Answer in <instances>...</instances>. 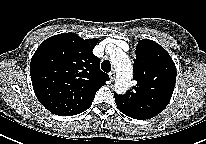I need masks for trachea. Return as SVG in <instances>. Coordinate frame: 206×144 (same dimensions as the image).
Returning a JSON list of instances; mask_svg holds the SVG:
<instances>
[{
  "mask_svg": "<svg viewBox=\"0 0 206 144\" xmlns=\"http://www.w3.org/2000/svg\"><path fill=\"white\" fill-rule=\"evenodd\" d=\"M101 68L104 72H110L111 71V64L108 60H104L101 64Z\"/></svg>",
  "mask_w": 206,
  "mask_h": 144,
  "instance_id": "obj_1",
  "label": "trachea"
}]
</instances>
